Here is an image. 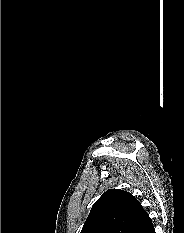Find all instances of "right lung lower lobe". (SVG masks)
Instances as JSON below:
<instances>
[{"mask_svg":"<svg viewBox=\"0 0 184 233\" xmlns=\"http://www.w3.org/2000/svg\"><path fill=\"white\" fill-rule=\"evenodd\" d=\"M134 233H155L151 219L148 218Z\"/></svg>","mask_w":184,"mask_h":233,"instance_id":"1","label":"right lung lower lobe"}]
</instances>
